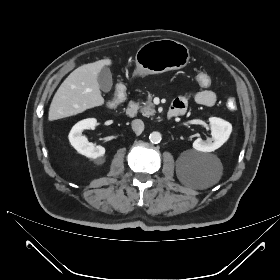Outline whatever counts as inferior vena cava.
Wrapping results in <instances>:
<instances>
[{"instance_id": "obj_1", "label": "inferior vena cava", "mask_w": 280, "mask_h": 280, "mask_svg": "<svg viewBox=\"0 0 280 280\" xmlns=\"http://www.w3.org/2000/svg\"><path fill=\"white\" fill-rule=\"evenodd\" d=\"M132 129L133 131L139 135L142 133V131L144 130V123L142 120L140 119H135L132 121L131 123Z\"/></svg>"}]
</instances>
